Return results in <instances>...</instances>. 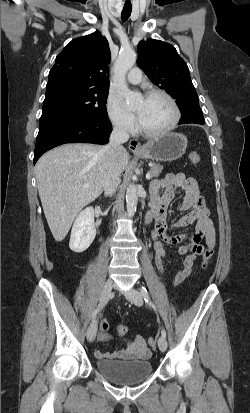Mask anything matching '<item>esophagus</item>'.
Masks as SVG:
<instances>
[{"instance_id": "esophagus-1", "label": "esophagus", "mask_w": 250, "mask_h": 413, "mask_svg": "<svg viewBox=\"0 0 250 413\" xmlns=\"http://www.w3.org/2000/svg\"><path fill=\"white\" fill-rule=\"evenodd\" d=\"M129 149L133 153L142 152L144 150L143 146L137 139H132L129 143Z\"/></svg>"}]
</instances>
